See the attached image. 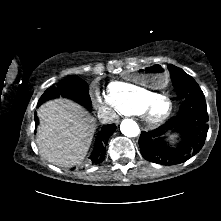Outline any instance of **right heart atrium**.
Returning a JSON list of instances; mask_svg holds the SVG:
<instances>
[{"label": "right heart atrium", "instance_id": "right-heart-atrium-1", "mask_svg": "<svg viewBox=\"0 0 221 221\" xmlns=\"http://www.w3.org/2000/svg\"><path fill=\"white\" fill-rule=\"evenodd\" d=\"M95 94L100 105L104 106L111 112H117V108L115 107L111 99L109 98L108 94L100 92V91H96Z\"/></svg>", "mask_w": 221, "mask_h": 221}]
</instances>
